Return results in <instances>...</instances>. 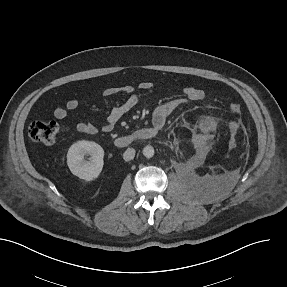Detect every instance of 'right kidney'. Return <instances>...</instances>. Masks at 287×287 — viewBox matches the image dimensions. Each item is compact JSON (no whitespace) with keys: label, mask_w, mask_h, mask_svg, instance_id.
Here are the masks:
<instances>
[{"label":"right kidney","mask_w":287,"mask_h":287,"mask_svg":"<svg viewBox=\"0 0 287 287\" xmlns=\"http://www.w3.org/2000/svg\"><path fill=\"white\" fill-rule=\"evenodd\" d=\"M90 155V161L84 156ZM103 148L92 141H78L71 145L67 153V165L70 171L80 179L91 181L96 179L103 168Z\"/></svg>","instance_id":"ca27d5eb"}]
</instances>
